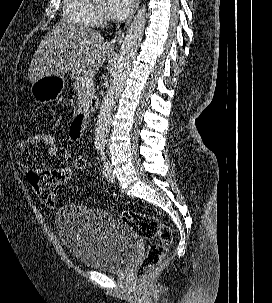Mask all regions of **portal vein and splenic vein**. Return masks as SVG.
Listing matches in <instances>:
<instances>
[{
	"instance_id": "18ae733b",
	"label": "portal vein and splenic vein",
	"mask_w": 272,
	"mask_h": 303,
	"mask_svg": "<svg viewBox=\"0 0 272 303\" xmlns=\"http://www.w3.org/2000/svg\"><path fill=\"white\" fill-rule=\"evenodd\" d=\"M81 83H82V85L90 86V85H93V79L90 76L84 75L81 78Z\"/></svg>"
}]
</instances>
